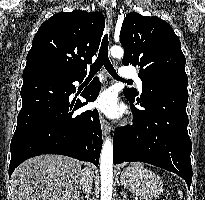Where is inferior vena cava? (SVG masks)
I'll list each match as a JSON object with an SVG mask.
<instances>
[{
	"mask_svg": "<svg viewBox=\"0 0 205 200\" xmlns=\"http://www.w3.org/2000/svg\"><path fill=\"white\" fill-rule=\"evenodd\" d=\"M80 182L81 186L83 188V191L86 194V197H89V194L91 193L92 184H93V172L90 168L86 167L81 171L80 175Z\"/></svg>",
	"mask_w": 205,
	"mask_h": 200,
	"instance_id": "obj_1",
	"label": "inferior vena cava"
}]
</instances>
